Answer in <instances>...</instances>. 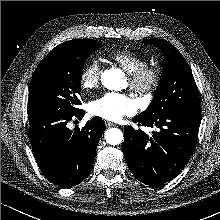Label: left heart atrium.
<instances>
[{
  "instance_id": "obj_1",
  "label": "left heart atrium",
  "mask_w": 220,
  "mask_h": 220,
  "mask_svg": "<svg viewBox=\"0 0 220 220\" xmlns=\"http://www.w3.org/2000/svg\"><path fill=\"white\" fill-rule=\"evenodd\" d=\"M137 108L136 102L125 94L107 93L90 103V112L105 120L117 121L125 115H132Z\"/></svg>"
}]
</instances>
